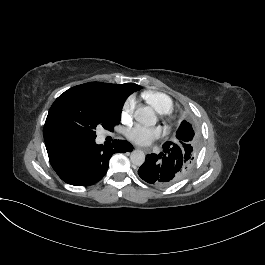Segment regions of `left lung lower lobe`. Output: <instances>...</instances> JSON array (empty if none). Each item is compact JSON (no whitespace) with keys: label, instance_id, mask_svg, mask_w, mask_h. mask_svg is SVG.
<instances>
[{"label":"left lung lower lobe","instance_id":"1","mask_svg":"<svg viewBox=\"0 0 265 265\" xmlns=\"http://www.w3.org/2000/svg\"><path fill=\"white\" fill-rule=\"evenodd\" d=\"M163 152L148 154L138 175L147 183L156 186H168L184 177L183 155L174 146L164 143Z\"/></svg>","mask_w":265,"mask_h":265}]
</instances>
